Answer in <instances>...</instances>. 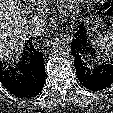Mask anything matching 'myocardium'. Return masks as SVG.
I'll return each mask as SVG.
<instances>
[{"instance_id":"myocardium-1","label":"myocardium","mask_w":113,"mask_h":113,"mask_svg":"<svg viewBox=\"0 0 113 113\" xmlns=\"http://www.w3.org/2000/svg\"><path fill=\"white\" fill-rule=\"evenodd\" d=\"M63 2H66L67 4V8H66L67 11H72L73 9H76L79 6L81 0H66Z\"/></svg>"}]
</instances>
